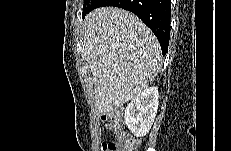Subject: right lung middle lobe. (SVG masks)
<instances>
[{
  "instance_id": "obj_1",
  "label": "right lung middle lobe",
  "mask_w": 231,
  "mask_h": 151,
  "mask_svg": "<svg viewBox=\"0 0 231 151\" xmlns=\"http://www.w3.org/2000/svg\"><path fill=\"white\" fill-rule=\"evenodd\" d=\"M90 0H84V4H83V14L89 9L90 5H91Z\"/></svg>"
}]
</instances>
